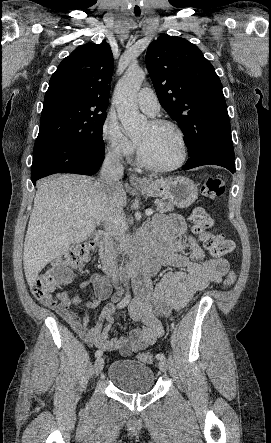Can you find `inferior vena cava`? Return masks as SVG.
<instances>
[{
	"mask_svg": "<svg viewBox=\"0 0 271 443\" xmlns=\"http://www.w3.org/2000/svg\"><path fill=\"white\" fill-rule=\"evenodd\" d=\"M120 154L114 150L111 154H107L102 170L100 172L99 180L96 182V188L103 192L105 196L113 190H119L120 182L124 168L120 164ZM106 231L111 233V241L107 253L102 255V269L112 277V281H118V265H117V241L123 235L125 229L121 220H111L110 223H105Z\"/></svg>",
	"mask_w": 271,
	"mask_h": 443,
	"instance_id": "inferior-vena-cava-1",
	"label": "inferior vena cava"
}]
</instances>
